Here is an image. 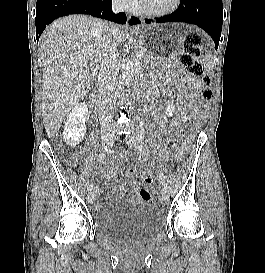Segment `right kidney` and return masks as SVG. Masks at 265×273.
Returning a JSON list of instances; mask_svg holds the SVG:
<instances>
[{
	"label": "right kidney",
	"mask_w": 265,
	"mask_h": 273,
	"mask_svg": "<svg viewBox=\"0 0 265 273\" xmlns=\"http://www.w3.org/2000/svg\"><path fill=\"white\" fill-rule=\"evenodd\" d=\"M88 115L87 105L83 102L76 105L67 117L64 125L63 138L67 145H78L85 136V120Z\"/></svg>",
	"instance_id": "ca27d5eb"
}]
</instances>
